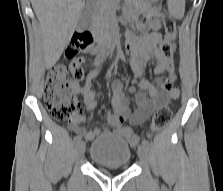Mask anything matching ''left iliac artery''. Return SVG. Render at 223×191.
<instances>
[{
  "label": "left iliac artery",
  "instance_id": "left-iliac-artery-1",
  "mask_svg": "<svg viewBox=\"0 0 223 191\" xmlns=\"http://www.w3.org/2000/svg\"><path fill=\"white\" fill-rule=\"evenodd\" d=\"M142 145H144L147 149L150 148V143H149V141L146 140V139H144V140L142 141Z\"/></svg>",
  "mask_w": 223,
  "mask_h": 191
}]
</instances>
